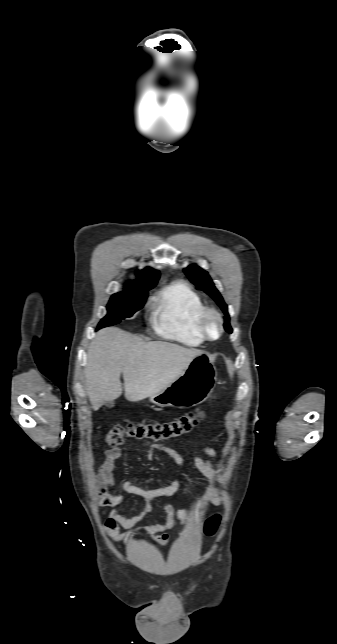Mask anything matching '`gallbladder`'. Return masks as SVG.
Listing matches in <instances>:
<instances>
[{"label": "gallbladder", "instance_id": "obj_1", "mask_svg": "<svg viewBox=\"0 0 337 644\" xmlns=\"http://www.w3.org/2000/svg\"><path fill=\"white\" fill-rule=\"evenodd\" d=\"M105 405H106L108 408H112V407L114 406V402H113V401H107V402H105Z\"/></svg>", "mask_w": 337, "mask_h": 644}]
</instances>
